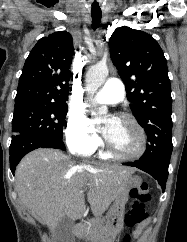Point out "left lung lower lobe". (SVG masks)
<instances>
[{"label": "left lung lower lobe", "mask_w": 187, "mask_h": 242, "mask_svg": "<svg viewBox=\"0 0 187 242\" xmlns=\"http://www.w3.org/2000/svg\"><path fill=\"white\" fill-rule=\"evenodd\" d=\"M170 158L139 159L135 162L124 163V165L137 167L153 176L162 187L164 192L168 177Z\"/></svg>", "instance_id": "1"}]
</instances>
